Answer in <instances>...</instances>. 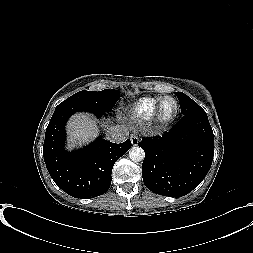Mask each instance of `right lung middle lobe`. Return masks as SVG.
I'll use <instances>...</instances> for the list:
<instances>
[{
    "label": "right lung middle lobe",
    "mask_w": 253,
    "mask_h": 253,
    "mask_svg": "<svg viewBox=\"0 0 253 253\" xmlns=\"http://www.w3.org/2000/svg\"><path fill=\"white\" fill-rule=\"evenodd\" d=\"M119 91L105 89L99 92L80 91L60 104L83 105L97 112H110L120 98Z\"/></svg>",
    "instance_id": "obj_1"
}]
</instances>
